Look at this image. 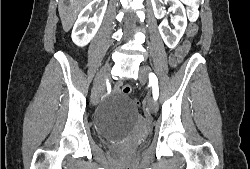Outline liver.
<instances>
[{"label":"liver","instance_id":"liver-1","mask_svg":"<svg viewBox=\"0 0 250 169\" xmlns=\"http://www.w3.org/2000/svg\"><path fill=\"white\" fill-rule=\"evenodd\" d=\"M90 0H59L58 10L65 32L72 28L79 10Z\"/></svg>","mask_w":250,"mask_h":169}]
</instances>
